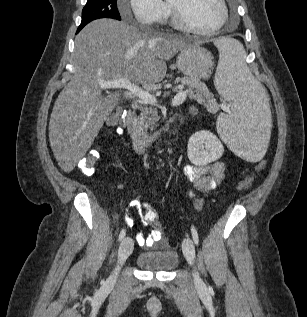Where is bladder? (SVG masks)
I'll list each match as a JSON object with an SVG mask.
<instances>
[{"instance_id": "obj_1", "label": "bladder", "mask_w": 307, "mask_h": 317, "mask_svg": "<svg viewBox=\"0 0 307 317\" xmlns=\"http://www.w3.org/2000/svg\"><path fill=\"white\" fill-rule=\"evenodd\" d=\"M136 265L147 271L167 272L179 265V255L173 250L143 252L136 257Z\"/></svg>"}]
</instances>
